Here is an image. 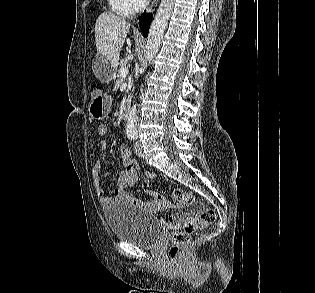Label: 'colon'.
<instances>
[{"label": "colon", "mask_w": 315, "mask_h": 293, "mask_svg": "<svg viewBox=\"0 0 315 293\" xmlns=\"http://www.w3.org/2000/svg\"><path fill=\"white\" fill-rule=\"evenodd\" d=\"M107 126L105 124H100L97 127V133L100 136H104L107 133ZM172 197L180 205H194L195 210L200 211L199 216L190 217L184 220L180 224V228L174 227L171 234V244L169 248V258L172 261L179 260L190 242L191 235L201 230L216 220V213L212 209H202L199 203H195V198L192 194L181 190L175 189L172 191Z\"/></svg>", "instance_id": "5ec220e1"}]
</instances>
